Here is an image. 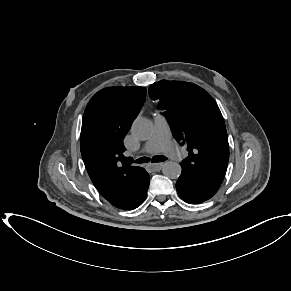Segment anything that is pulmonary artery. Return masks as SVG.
<instances>
[{"label":"pulmonary artery","instance_id":"1","mask_svg":"<svg viewBox=\"0 0 291 291\" xmlns=\"http://www.w3.org/2000/svg\"><path fill=\"white\" fill-rule=\"evenodd\" d=\"M144 152H164L168 157L178 161L181 158L180 150L173 144L168 121L161 113L154 114V130L150 139L145 143Z\"/></svg>","mask_w":291,"mask_h":291}]
</instances>
